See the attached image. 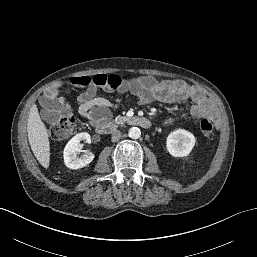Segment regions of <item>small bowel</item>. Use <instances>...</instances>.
Masks as SVG:
<instances>
[{"instance_id": "obj_1", "label": "small bowel", "mask_w": 257, "mask_h": 257, "mask_svg": "<svg viewBox=\"0 0 257 257\" xmlns=\"http://www.w3.org/2000/svg\"><path fill=\"white\" fill-rule=\"evenodd\" d=\"M88 80L85 85L75 84L71 79L54 83L47 89L41 99L43 115L46 120L54 121L60 113L67 108L65 101L59 96V91L64 86L87 87L77 97L78 112L91 125H98L101 122L109 121L111 118L110 109L120 106L122 98L111 102L98 94L102 89L106 92H117L120 95L131 93L137 97L140 103L159 101L163 103H178L190 101L192 103L190 113L193 117L201 118L208 116L212 111V104L205 93L182 80L157 81L152 77H134L123 79L119 75L98 74L93 77L82 76ZM176 118H169L166 123L172 124Z\"/></svg>"}]
</instances>
